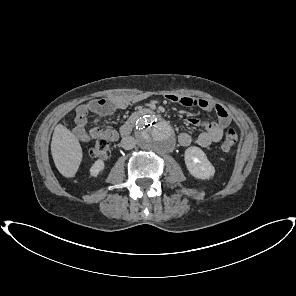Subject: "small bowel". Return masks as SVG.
<instances>
[{
    "label": "small bowel",
    "mask_w": 296,
    "mask_h": 296,
    "mask_svg": "<svg viewBox=\"0 0 296 296\" xmlns=\"http://www.w3.org/2000/svg\"><path fill=\"white\" fill-rule=\"evenodd\" d=\"M166 99L182 106L197 107L206 112H213L216 115V121L202 122L194 117H190L186 120L187 125L203 127V131L197 137V144L203 148L209 147L211 144L220 141L224 129L231 123V116L227 109L210 100L178 96L174 94L167 95ZM136 101L137 99L135 98L112 96L92 100L87 104L79 106L76 111V125L73 128L74 136L82 142H88L98 138L116 141L119 138L120 133L113 128L93 127L87 130L85 127L87 123V115L89 113H94L99 116H107L118 109L127 108ZM178 142L182 146H189L192 143V136L187 132H182L178 135Z\"/></svg>",
    "instance_id": "1"
}]
</instances>
